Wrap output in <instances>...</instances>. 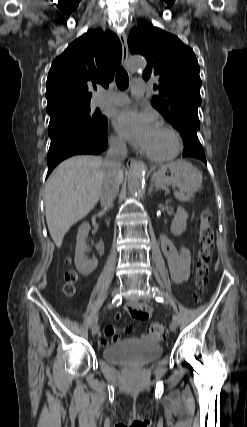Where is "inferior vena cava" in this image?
Listing matches in <instances>:
<instances>
[{
  "instance_id": "inferior-vena-cava-1",
  "label": "inferior vena cava",
  "mask_w": 247,
  "mask_h": 427,
  "mask_svg": "<svg viewBox=\"0 0 247 427\" xmlns=\"http://www.w3.org/2000/svg\"><path fill=\"white\" fill-rule=\"evenodd\" d=\"M127 156L126 144L121 139L109 141V150L105 158L106 173L104 176L100 193V203L102 207H111L115 200L120 186L119 174L121 163Z\"/></svg>"
}]
</instances>
